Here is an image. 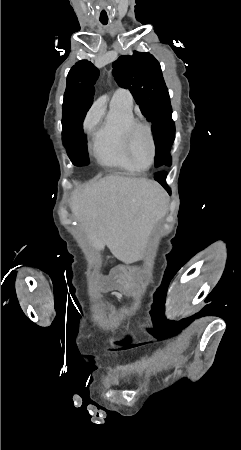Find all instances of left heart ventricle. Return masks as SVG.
Returning <instances> with one entry per match:
<instances>
[{
	"label": "left heart ventricle",
	"instance_id": "left-heart-ventricle-1",
	"mask_svg": "<svg viewBox=\"0 0 241 450\" xmlns=\"http://www.w3.org/2000/svg\"><path fill=\"white\" fill-rule=\"evenodd\" d=\"M143 128H144V130H151L150 127H148V124H147V127H143ZM137 129L139 130V132L142 133L141 138L143 139V142H144L145 137H148L149 135H143L144 130H142L140 128H137ZM143 142L141 140H135L133 142V150L135 151V155L137 157H141L140 163L142 165H147L149 163V158L147 156H144L147 151V146H146V144H143Z\"/></svg>",
	"mask_w": 241,
	"mask_h": 450
}]
</instances>
